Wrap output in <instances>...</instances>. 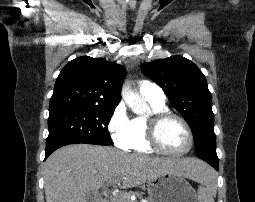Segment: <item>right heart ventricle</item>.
Returning <instances> with one entry per match:
<instances>
[{
  "mask_svg": "<svg viewBox=\"0 0 255 202\" xmlns=\"http://www.w3.org/2000/svg\"><path fill=\"white\" fill-rule=\"evenodd\" d=\"M152 112L166 111L165 103L159 104L147 100ZM148 116H138L130 120V140L127 149L141 152L152 153L154 150L149 146L146 139V121Z\"/></svg>",
  "mask_w": 255,
  "mask_h": 202,
  "instance_id": "1",
  "label": "right heart ventricle"
}]
</instances>
